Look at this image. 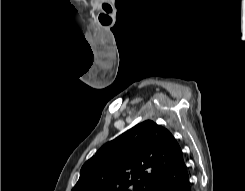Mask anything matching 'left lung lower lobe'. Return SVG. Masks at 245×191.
Wrapping results in <instances>:
<instances>
[{
    "label": "left lung lower lobe",
    "instance_id": "0a47b994",
    "mask_svg": "<svg viewBox=\"0 0 245 191\" xmlns=\"http://www.w3.org/2000/svg\"><path fill=\"white\" fill-rule=\"evenodd\" d=\"M152 191H191L190 177L182 153Z\"/></svg>",
    "mask_w": 245,
    "mask_h": 191
}]
</instances>
